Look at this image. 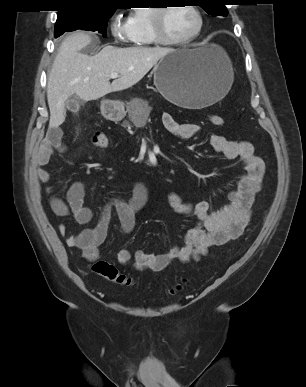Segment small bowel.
<instances>
[{"label":"small bowel","instance_id":"obj_1","mask_svg":"<svg viewBox=\"0 0 306 387\" xmlns=\"http://www.w3.org/2000/svg\"><path fill=\"white\" fill-rule=\"evenodd\" d=\"M162 122L170 133L181 139H190L200 130L197 124L179 123L170 113L162 115ZM209 142L217 153L227 159H240L244 165V173L238 180L237 188L229 193V203L211 211L207 201L185 203L177 194L171 193L168 198L171 208L179 214L193 215L195 226L187 231L180 245L164 253L152 254L143 250L132 253L128 249H121L117 254L119 264L127 266L133 261V268L137 271H162L175 260L184 263L196 260L210 248L224 245L243 234L250 221L255 198L262 187L264 162L255 154L253 145L248 141H231L224 136L212 134ZM65 149L61 129H50L36 157V174L41 182L47 183L50 179L46 166L54 150L64 152ZM47 193L51 209L57 216L65 217L71 214L81 225L91 222L93 211L84 205L85 189L81 182H74L69 187L66 202L54 194L52 187L47 188ZM147 196L146 187L137 184L131 198L116 196L104 204L95 226L84 228L77 234H70L62 223L58 230L66 237L69 247L80 249L88 261L95 262L100 258V246L108 234L111 209L114 208L117 212L120 231L128 234L133 230L136 214L145 205Z\"/></svg>","mask_w":306,"mask_h":387}]
</instances>
